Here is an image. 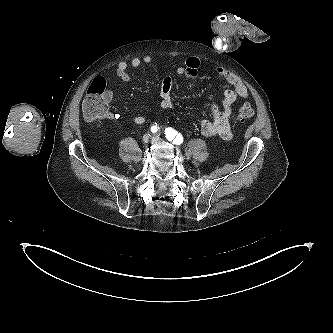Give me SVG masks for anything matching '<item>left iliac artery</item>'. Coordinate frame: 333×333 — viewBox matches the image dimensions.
Instances as JSON below:
<instances>
[{"mask_svg":"<svg viewBox=\"0 0 333 333\" xmlns=\"http://www.w3.org/2000/svg\"><path fill=\"white\" fill-rule=\"evenodd\" d=\"M164 134L169 141H173L176 145H180L183 142L182 135L171 127L165 128Z\"/></svg>","mask_w":333,"mask_h":333,"instance_id":"left-iliac-artery-1","label":"left iliac artery"}]
</instances>
